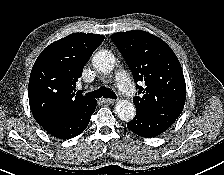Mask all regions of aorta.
Here are the masks:
<instances>
[{
	"label": "aorta",
	"mask_w": 224,
	"mask_h": 175,
	"mask_svg": "<svg viewBox=\"0 0 224 175\" xmlns=\"http://www.w3.org/2000/svg\"><path fill=\"white\" fill-rule=\"evenodd\" d=\"M92 63L94 67L103 72H111L114 68V55L108 50H100L93 56ZM136 113L135 106L127 100H119L115 105V114L122 121H131Z\"/></svg>",
	"instance_id": "aorta-1"
}]
</instances>
